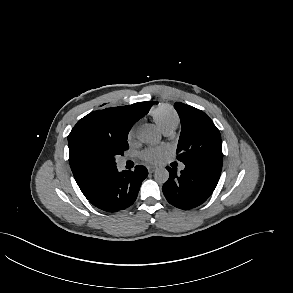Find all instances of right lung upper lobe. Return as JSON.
Returning <instances> with one entry per match:
<instances>
[{"instance_id":"right-lung-upper-lobe-1","label":"right lung upper lobe","mask_w":293,"mask_h":293,"mask_svg":"<svg viewBox=\"0 0 293 293\" xmlns=\"http://www.w3.org/2000/svg\"><path fill=\"white\" fill-rule=\"evenodd\" d=\"M156 102H139L97 110L80 119L68 136L69 163L74 178L86 198L99 188L116 165L100 159L96 148L128 134L133 124Z\"/></svg>"}]
</instances>
